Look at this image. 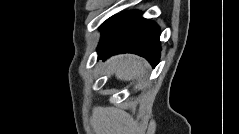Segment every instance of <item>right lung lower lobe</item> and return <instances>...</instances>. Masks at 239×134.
Wrapping results in <instances>:
<instances>
[{
	"label": "right lung lower lobe",
	"instance_id": "1",
	"mask_svg": "<svg viewBox=\"0 0 239 134\" xmlns=\"http://www.w3.org/2000/svg\"><path fill=\"white\" fill-rule=\"evenodd\" d=\"M98 47L99 59L119 53H135L155 67L160 56V29L141 17V11H127L111 17L102 26Z\"/></svg>",
	"mask_w": 239,
	"mask_h": 134
}]
</instances>
